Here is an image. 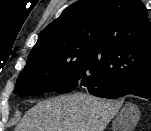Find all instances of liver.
<instances>
[{
  "instance_id": "6515ba94",
  "label": "liver",
  "mask_w": 151,
  "mask_h": 131,
  "mask_svg": "<svg viewBox=\"0 0 151 131\" xmlns=\"http://www.w3.org/2000/svg\"><path fill=\"white\" fill-rule=\"evenodd\" d=\"M119 108L89 94L59 96L30 108L15 131H104Z\"/></svg>"
}]
</instances>
